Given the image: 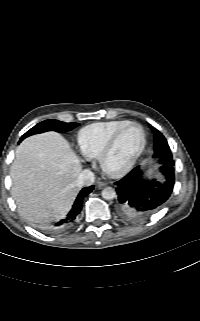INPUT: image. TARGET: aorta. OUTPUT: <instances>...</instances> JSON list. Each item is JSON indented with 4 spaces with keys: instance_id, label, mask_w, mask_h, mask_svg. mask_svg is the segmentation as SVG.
Wrapping results in <instances>:
<instances>
[{
    "instance_id": "obj_1",
    "label": "aorta",
    "mask_w": 200,
    "mask_h": 321,
    "mask_svg": "<svg viewBox=\"0 0 200 321\" xmlns=\"http://www.w3.org/2000/svg\"><path fill=\"white\" fill-rule=\"evenodd\" d=\"M115 196H116V192H115V189L112 187H105L102 190V197L105 200H112Z\"/></svg>"
}]
</instances>
